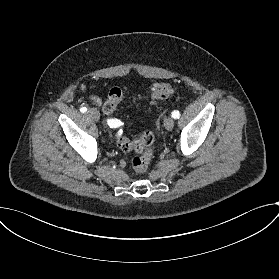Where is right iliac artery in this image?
Returning <instances> with one entry per match:
<instances>
[{
  "mask_svg": "<svg viewBox=\"0 0 279 279\" xmlns=\"http://www.w3.org/2000/svg\"><path fill=\"white\" fill-rule=\"evenodd\" d=\"M80 111L82 112V113H85L86 111H87V108L86 107H82L81 109H80ZM108 122V125L111 127V128H116V127H119V129H124V122H120L119 120H117V119H115V120H108L107 121Z\"/></svg>",
  "mask_w": 279,
  "mask_h": 279,
  "instance_id": "82829eb1",
  "label": "right iliac artery"
}]
</instances>
